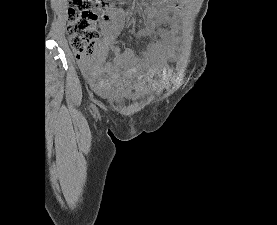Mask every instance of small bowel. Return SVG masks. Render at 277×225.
I'll return each mask as SVG.
<instances>
[{"instance_id": "1", "label": "small bowel", "mask_w": 277, "mask_h": 225, "mask_svg": "<svg viewBox=\"0 0 277 225\" xmlns=\"http://www.w3.org/2000/svg\"><path fill=\"white\" fill-rule=\"evenodd\" d=\"M166 2L167 0H161L159 4L145 12V18L149 21L142 33L152 38L145 55L134 49L120 53L119 49L113 45L114 38L122 32L126 22V16L122 11L110 8L107 14L101 17L105 48L94 55H76L84 77L95 92L107 95L113 88H125L126 84L122 80L125 72L139 75L135 91L125 90L128 97L139 98L148 94H157L169 86L170 82L164 73V65L172 51L173 29L180 13L175 6L167 5ZM159 25L164 27L154 32V28ZM109 50L115 55L112 60H107ZM145 62L149 69L143 71L141 67ZM155 75L159 76L158 80H153Z\"/></svg>"}]
</instances>
